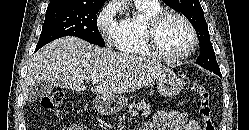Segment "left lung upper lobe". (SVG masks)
<instances>
[{
  "mask_svg": "<svg viewBox=\"0 0 249 130\" xmlns=\"http://www.w3.org/2000/svg\"><path fill=\"white\" fill-rule=\"evenodd\" d=\"M163 2L181 12L193 25L200 42V55L196 63L217 75H221L199 0H163Z\"/></svg>",
  "mask_w": 249,
  "mask_h": 130,
  "instance_id": "5c2ea615",
  "label": "left lung upper lobe"
}]
</instances>
